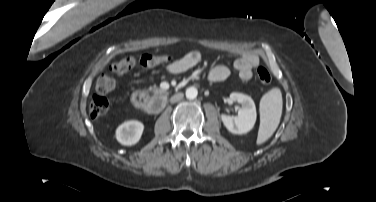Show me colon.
<instances>
[{
    "label": "colon",
    "mask_w": 376,
    "mask_h": 202,
    "mask_svg": "<svg viewBox=\"0 0 376 202\" xmlns=\"http://www.w3.org/2000/svg\"><path fill=\"white\" fill-rule=\"evenodd\" d=\"M171 61L169 55H142L138 59L134 57H125L111 66V71L117 75H123L133 70L137 65L150 68L161 63ZM257 78L263 84H268L271 81V74L269 70L263 66L257 69ZM114 87V80L108 75H101L96 82L97 94H94L89 102V114L96 118L103 115L108 109V100L103 96L110 92Z\"/></svg>",
    "instance_id": "1"
}]
</instances>
